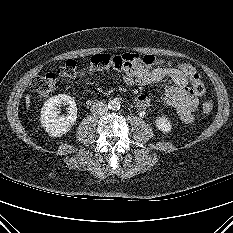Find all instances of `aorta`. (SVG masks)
Listing matches in <instances>:
<instances>
[{"mask_svg":"<svg viewBox=\"0 0 233 233\" xmlns=\"http://www.w3.org/2000/svg\"><path fill=\"white\" fill-rule=\"evenodd\" d=\"M109 109L111 110H119L121 107L120 101L117 98H114L109 101Z\"/></svg>","mask_w":233,"mask_h":233,"instance_id":"762f6f07","label":"aorta"}]
</instances>
